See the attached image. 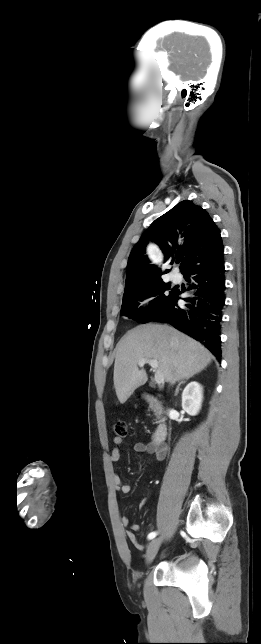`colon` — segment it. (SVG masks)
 Returning a JSON list of instances; mask_svg holds the SVG:
<instances>
[{"instance_id":"5ec220e1","label":"colon","mask_w":261,"mask_h":644,"mask_svg":"<svg viewBox=\"0 0 261 644\" xmlns=\"http://www.w3.org/2000/svg\"><path fill=\"white\" fill-rule=\"evenodd\" d=\"M114 432L117 437L125 438L128 434L126 422L122 420L117 421L114 425Z\"/></svg>"}]
</instances>
